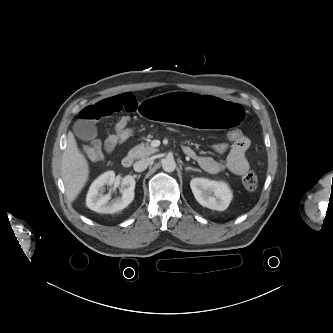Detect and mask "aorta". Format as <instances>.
Here are the masks:
<instances>
[{
	"label": "aorta",
	"instance_id": "762f6f07",
	"mask_svg": "<svg viewBox=\"0 0 333 333\" xmlns=\"http://www.w3.org/2000/svg\"><path fill=\"white\" fill-rule=\"evenodd\" d=\"M162 168L165 172H173L176 169V163L173 158H165L162 161Z\"/></svg>",
	"mask_w": 333,
	"mask_h": 333
}]
</instances>
